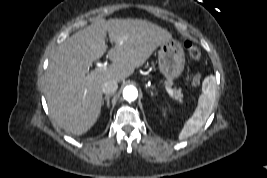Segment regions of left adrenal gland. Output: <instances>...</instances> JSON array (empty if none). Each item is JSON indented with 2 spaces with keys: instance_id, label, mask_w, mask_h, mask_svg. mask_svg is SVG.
<instances>
[{
  "instance_id": "1",
  "label": "left adrenal gland",
  "mask_w": 267,
  "mask_h": 178,
  "mask_svg": "<svg viewBox=\"0 0 267 178\" xmlns=\"http://www.w3.org/2000/svg\"><path fill=\"white\" fill-rule=\"evenodd\" d=\"M150 93H151V96H153V95H154V93H153L152 91H150Z\"/></svg>"
}]
</instances>
